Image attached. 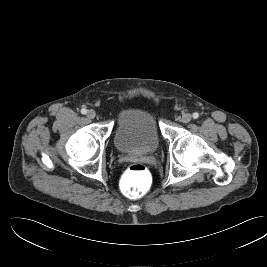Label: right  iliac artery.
<instances>
[{
	"instance_id": "right-iliac-artery-1",
	"label": "right iliac artery",
	"mask_w": 267,
	"mask_h": 267,
	"mask_svg": "<svg viewBox=\"0 0 267 267\" xmlns=\"http://www.w3.org/2000/svg\"><path fill=\"white\" fill-rule=\"evenodd\" d=\"M81 113H82V114H86V113H87V110H86L85 108H82V109H81Z\"/></svg>"
}]
</instances>
